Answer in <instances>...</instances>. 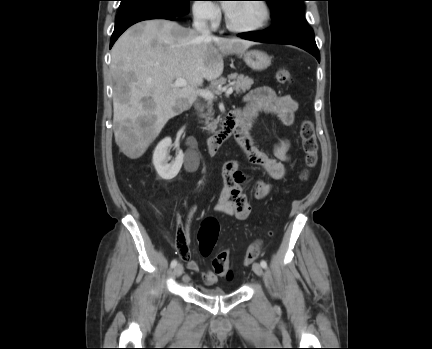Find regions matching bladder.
<instances>
[{
    "instance_id": "bladder-1",
    "label": "bladder",
    "mask_w": 432,
    "mask_h": 349,
    "mask_svg": "<svg viewBox=\"0 0 432 349\" xmlns=\"http://www.w3.org/2000/svg\"><path fill=\"white\" fill-rule=\"evenodd\" d=\"M201 291L209 296H222L225 295V291L221 288H207V287H202Z\"/></svg>"
}]
</instances>
